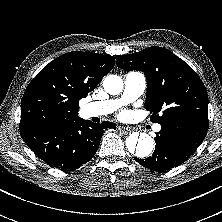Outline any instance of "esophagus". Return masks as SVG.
Returning <instances> with one entry per match:
<instances>
[{
	"instance_id": "1",
	"label": "esophagus",
	"mask_w": 222,
	"mask_h": 222,
	"mask_svg": "<svg viewBox=\"0 0 222 222\" xmlns=\"http://www.w3.org/2000/svg\"><path fill=\"white\" fill-rule=\"evenodd\" d=\"M118 130L123 134H128L131 132V129L129 127L124 126H118Z\"/></svg>"
}]
</instances>
